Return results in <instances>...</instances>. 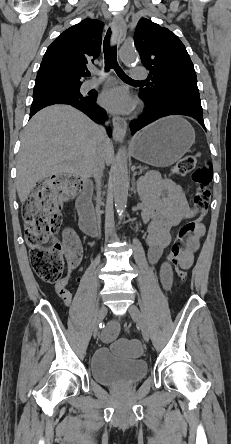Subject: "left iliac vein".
Returning a JSON list of instances; mask_svg holds the SVG:
<instances>
[{
  "label": "left iliac vein",
  "mask_w": 231,
  "mask_h": 444,
  "mask_svg": "<svg viewBox=\"0 0 231 444\" xmlns=\"http://www.w3.org/2000/svg\"><path fill=\"white\" fill-rule=\"evenodd\" d=\"M128 312H129L131 318L133 319V321L140 327L143 339L146 342H148L149 341V330H148L146 323L144 322V320L142 318V315H141L139 309L137 308L136 305L132 304L129 306Z\"/></svg>",
  "instance_id": "1"
}]
</instances>
